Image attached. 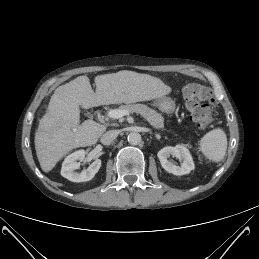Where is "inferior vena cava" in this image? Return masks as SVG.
Returning <instances> with one entry per match:
<instances>
[{"instance_id": "602c4592", "label": "inferior vena cava", "mask_w": 259, "mask_h": 259, "mask_svg": "<svg viewBox=\"0 0 259 259\" xmlns=\"http://www.w3.org/2000/svg\"><path fill=\"white\" fill-rule=\"evenodd\" d=\"M119 132L117 130H109L101 136V143L104 145H109L118 136Z\"/></svg>"}]
</instances>
